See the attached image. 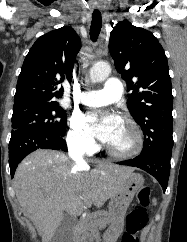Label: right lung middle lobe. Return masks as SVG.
I'll return each mask as SVG.
<instances>
[{
	"label": "right lung middle lobe",
	"mask_w": 187,
	"mask_h": 242,
	"mask_svg": "<svg viewBox=\"0 0 187 242\" xmlns=\"http://www.w3.org/2000/svg\"><path fill=\"white\" fill-rule=\"evenodd\" d=\"M67 116L59 103H29L14 106L12 133L19 131L65 135Z\"/></svg>",
	"instance_id": "dd1d6c3e"
}]
</instances>
